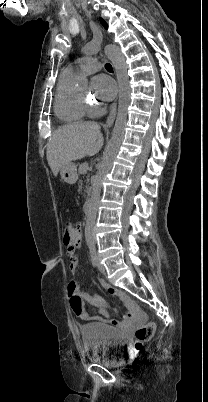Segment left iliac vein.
<instances>
[{"label":"left iliac vein","mask_w":208,"mask_h":402,"mask_svg":"<svg viewBox=\"0 0 208 402\" xmlns=\"http://www.w3.org/2000/svg\"><path fill=\"white\" fill-rule=\"evenodd\" d=\"M97 261H98V269H99V271H100L101 273H104V272H105V268H104V266L100 263V259L98 258V256H97Z\"/></svg>","instance_id":"obj_1"}]
</instances>
